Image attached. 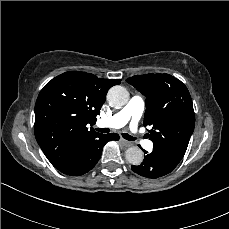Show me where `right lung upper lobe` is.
Returning <instances> with one entry per match:
<instances>
[{
    "label": "right lung upper lobe",
    "instance_id": "1",
    "mask_svg": "<svg viewBox=\"0 0 229 229\" xmlns=\"http://www.w3.org/2000/svg\"><path fill=\"white\" fill-rule=\"evenodd\" d=\"M120 83V79L69 71L41 90L35 104V137L56 169L99 135L87 125L95 124L107 91Z\"/></svg>",
    "mask_w": 229,
    "mask_h": 229
}]
</instances>
